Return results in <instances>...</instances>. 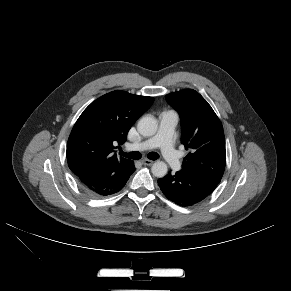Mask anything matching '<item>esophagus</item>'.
I'll use <instances>...</instances> for the list:
<instances>
[{
	"instance_id": "obj_1",
	"label": "esophagus",
	"mask_w": 291,
	"mask_h": 291,
	"mask_svg": "<svg viewBox=\"0 0 291 291\" xmlns=\"http://www.w3.org/2000/svg\"><path fill=\"white\" fill-rule=\"evenodd\" d=\"M154 162L152 160L149 159H143L142 160V164L146 165V166H151Z\"/></svg>"
}]
</instances>
